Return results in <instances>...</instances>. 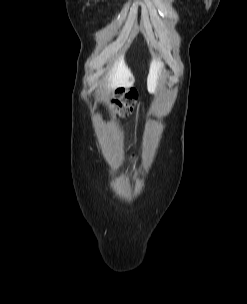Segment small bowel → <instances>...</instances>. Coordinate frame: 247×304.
<instances>
[{
    "label": "small bowel",
    "mask_w": 247,
    "mask_h": 304,
    "mask_svg": "<svg viewBox=\"0 0 247 304\" xmlns=\"http://www.w3.org/2000/svg\"><path fill=\"white\" fill-rule=\"evenodd\" d=\"M127 125L129 126V127H132L133 125H134V122L132 121V120H129L128 122H127ZM129 149V148H128ZM133 157L135 156L134 154L132 155ZM128 160V159H127Z\"/></svg>",
    "instance_id": "small-bowel-1"
}]
</instances>
